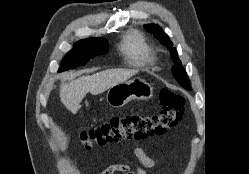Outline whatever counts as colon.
Wrapping results in <instances>:
<instances>
[{
	"label": "colon",
	"mask_w": 249,
	"mask_h": 174,
	"mask_svg": "<svg viewBox=\"0 0 249 174\" xmlns=\"http://www.w3.org/2000/svg\"><path fill=\"white\" fill-rule=\"evenodd\" d=\"M161 108L155 113L113 117L80 134L79 140L89 148L121 140H141L161 136L176 127L182 118L185 99L165 89L160 93Z\"/></svg>",
	"instance_id": "colon-1"
}]
</instances>
